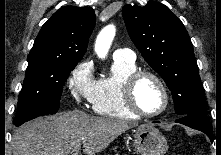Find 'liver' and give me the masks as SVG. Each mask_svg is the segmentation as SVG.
<instances>
[{"instance_id": "1", "label": "liver", "mask_w": 221, "mask_h": 155, "mask_svg": "<svg viewBox=\"0 0 221 155\" xmlns=\"http://www.w3.org/2000/svg\"><path fill=\"white\" fill-rule=\"evenodd\" d=\"M136 122L95 117L80 110L38 118L16 129L13 155H70L83 144L85 155H96Z\"/></svg>"}]
</instances>
